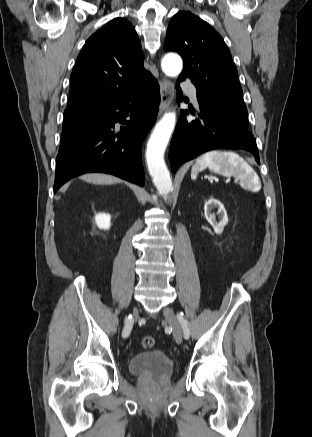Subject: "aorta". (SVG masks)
Returning <instances> with one entry per match:
<instances>
[{
  "instance_id": "1",
  "label": "aorta",
  "mask_w": 312,
  "mask_h": 437,
  "mask_svg": "<svg viewBox=\"0 0 312 437\" xmlns=\"http://www.w3.org/2000/svg\"><path fill=\"white\" fill-rule=\"evenodd\" d=\"M162 70L168 76H177L182 70V60L178 55L168 54L161 63ZM175 113H167L156 125L146 150V160L149 173L158 192L167 198L172 191L170 173L164 161V152L174 130Z\"/></svg>"
}]
</instances>
